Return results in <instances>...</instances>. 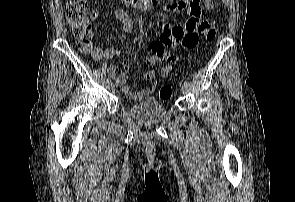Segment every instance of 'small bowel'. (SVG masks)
Returning a JSON list of instances; mask_svg holds the SVG:
<instances>
[{
	"instance_id": "1",
	"label": "small bowel",
	"mask_w": 295,
	"mask_h": 202,
	"mask_svg": "<svg viewBox=\"0 0 295 202\" xmlns=\"http://www.w3.org/2000/svg\"><path fill=\"white\" fill-rule=\"evenodd\" d=\"M201 5L206 12H211L215 9L213 0H178L175 3L168 4L162 12V28L157 41L148 43V48L151 52H156L157 63H163L161 70L163 77L167 76L172 70V65L177 61V57L170 51L171 49L182 46L185 48H193L198 41L199 34L204 31L207 26V20L202 18ZM188 10L189 18L184 25L172 24L168 16L177 11ZM115 15L122 23L125 32H130L132 21L127 12L124 10H116ZM93 20L99 16V11L93 9L90 13ZM94 59L111 58L118 54L113 49H102L100 47L91 46L90 51ZM149 56V55H148ZM124 67H128L129 62L124 61ZM107 73L115 80L116 84L121 87L125 96L134 101L140 102L148 98L155 90H149V86L140 91H133L127 85V76L119 73L117 68L110 66L106 69ZM144 79H155V75H144Z\"/></svg>"
}]
</instances>
